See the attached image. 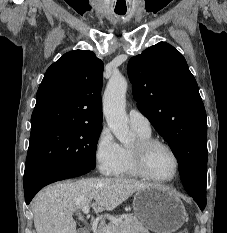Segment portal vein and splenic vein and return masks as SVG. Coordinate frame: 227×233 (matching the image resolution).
<instances>
[{
  "instance_id": "18ae733b",
  "label": "portal vein and splenic vein",
  "mask_w": 227,
  "mask_h": 233,
  "mask_svg": "<svg viewBox=\"0 0 227 233\" xmlns=\"http://www.w3.org/2000/svg\"><path fill=\"white\" fill-rule=\"evenodd\" d=\"M89 210H90V207L89 206H83L82 207V211L85 213V214H88L89 213ZM101 232L102 233H113V231H111L110 227L109 226H104L101 228ZM125 233V232H124Z\"/></svg>"
}]
</instances>
